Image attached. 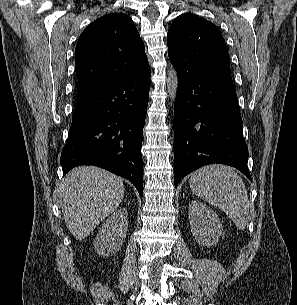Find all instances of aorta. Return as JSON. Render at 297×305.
<instances>
[{"mask_svg":"<svg viewBox=\"0 0 297 305\" xmlns=\"http://www.w3.org/2000/svg\"><path fill=\"white\" fill-rule=\"evenodd\" d=\"M178 90V73L171 68L167 74V92L171 101L175 100Z\"/></svg>","mask_w":297,"mask_h":305,"instance_id":"762f6f07","label":"aorta"}]
</instances>
